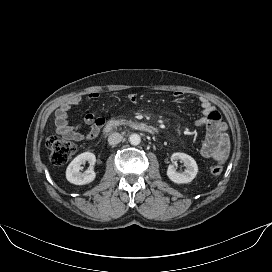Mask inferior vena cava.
<instances>
[{
    "instance_id": "1",
    "label": "inferior vena cava",
    "mask_w": 272,
    "mask_h": 272,
    "mask_svg": "<svg viewBox=\"0 0 272 272\" xmlns=\"http://www.w3.org/2000/svg\"><path fill=\"white\" fill-rule=\"evenodd\" d=\"M122 138L121 134L114 132L108 137V143L113 146L117 145L121 142Z\"/></svg>"
}]
</instances>
